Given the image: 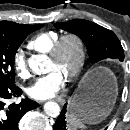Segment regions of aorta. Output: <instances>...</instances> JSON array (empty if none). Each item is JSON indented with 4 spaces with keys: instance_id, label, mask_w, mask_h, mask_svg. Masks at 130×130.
<instances>
[{
    "instance_id": "obj_1",
    "label": "aorta",
    "mask_w": 130,
    "mask_h": 130,
    "mask_svg": "<svg viewBox=\"0 0 130 130\" xmlns=\"http://www.w3.org/2000/svg\"><path fill=\"white\" fill-rule=\"evenodd\" d=\"M28 65L35 74L48 72L47 58L44 55H32L28 59ZM44 112L50 117H58L60 106L54 101H48L44 104Z\"/></svg>"
}]
</instances>
